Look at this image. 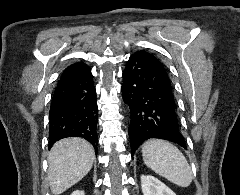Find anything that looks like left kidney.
I'll return each instance as SVG.
<instances>
[{"label": "left kidney", "instance_id": "left-kidney-1", "mask_svg": "<svg viewBox=\"0 0 240 195\" xmlns=\"http://www.w3.org/2000/svg\"><path fill=\"white\" fill-rule=\"evenodd\" d=\"M141 187L143 195H176L170 187L154 175H141Z\"/></svg>", "mask_w": 240, "mask_h": 195}]
</instances>
